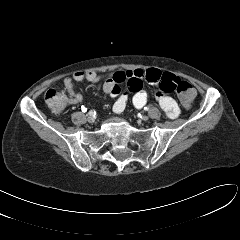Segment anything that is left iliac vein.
<instances>
[{"mask_svg":"<svg viewBox=\"0 0 240 240\" xmlns=\"http://www.w3.org/2000/svg\"><path fill=\"white\" fill-rule=\"evenodd\" d=\"M148 119H149V117L146 116V115H143V116L141 117V120H142V121H147Z\"/></svg>","mask_w":240,"mask_h":240,"instance_id":"obj_1","label":"left iliac vein"}]
</instances>
